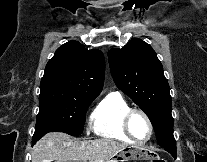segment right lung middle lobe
<instances>
[{"label": "right lung middle lobe", "instance_id": "1", "mask_svg": "<svg viewBox=\"0 0 207 162\" xmlns=\"http://www.w3.org/2000/svg\"><path fill=\"white\" fill-rule=\"evenodd\" d=\"M96 97L52 89L41 90L34 136L53 131L79 136L83 131L86 111Z\"/></svg>", "mask_w": 207, "mask_h": 162}]
</instances>
